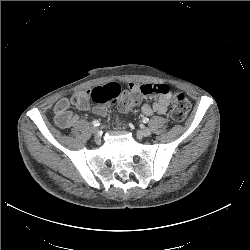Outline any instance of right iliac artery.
<instances>
[{
	"label": "right iliac artery",
	"instance_id": "1",
	"mask_svg": "<svg viewBox=\"0 0 250 250\" xmlns=\"http://www.w3.org/2000/svg\"><path fill=\"white\" fill-rule=\"evenodd\" d=\"M92 124L94 125V126H99L100 125V122L98 121V120H93L92 121Z\"/></svg>",
	"mask_w": 250,
	"mask_h": 250
}]
</instances>
